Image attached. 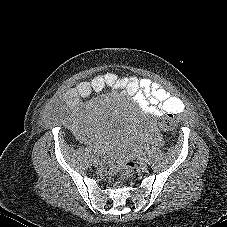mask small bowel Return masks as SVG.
Here are the masks:
<instances>
[{
    "label": "small bowel",
    "instance_id": "c3829d8e",
    "mask_svg": "<svg viewBox=\"0 0 227 227\" xmlns=\"http://www.w3.org/2000/svg\"><path fill=\"white\" fill-rule=\"evenodd\" d=\"M106 89L133 97L144 113L152 118H160L167 112L178 114L184 109L180 98L149 78L119 77L113 72H107L98 74L89 81H82L69 89L63 97L66 106L64 121L80 141L89 143L96 149L101 146V140L89 138L91 121L86 99Z\"/></svg>",
    "mask_w": 227,
    "mask_h": 227
}]
</instances>
